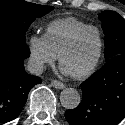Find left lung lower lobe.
<instances>
[{
    "label": "left lung lower lobe",
    "mask_w": 125,
    "mask_h": 125,
    "mask_svg": "<svg viewBox=\"0 0 125 125\" xmlns=\"http://www.w3.org/2000/svg\"><path fill=\"white\" fill-rule=\"evenodd\" d=\"M81 89V103L65 111L68 123L117 125L125 117V54L107 60Z\"/></svg>",
    "instance_id": "0a47b994"
}]
</instances>
